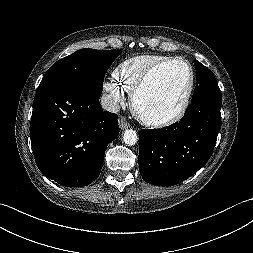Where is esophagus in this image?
Here are the masks:
<instances>
[{
    "instance_id": "obj_1",
    "label": "esophagus",
    "mask_w": 253,
    "mask_h": 253,
    "mask_svg": "<svg viewBox=\"0 0 253 253\" xmlns=\"http://www.w3.org/2000/svg\"><path fill=\"white\" fill-rule=\"evenodd\" d=\"M119 127L121 130L127 129L129 127V123L126 121L125 118L123 117L119 118Z\"/></svg>"
}]
</instances>
